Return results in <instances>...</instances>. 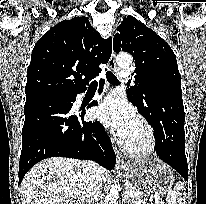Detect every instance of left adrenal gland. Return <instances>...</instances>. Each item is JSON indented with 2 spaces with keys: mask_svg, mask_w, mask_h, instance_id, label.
Listing matches in <instances>:
<instances>
[{
  "mask_svg": "<svg viewBox=\"0 0 206 204\" xmlns=\"http://www.w3.org/2000/svg\"><path fill=\"white\" fill-rule=\"evenodd\" d=\"M128 200V204H129V197H128V195H127V193H125L124 195H123V200L122 201H127Z\"/></svg>",
  "mask_w": 206,
  "mask_h": 204,
  "instance_id": "1",
  "label": "left adrenal gland"
}]
</instances>
